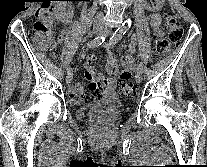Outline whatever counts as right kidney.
Instances as JSON below:
<instances>
[{
  "mask_svg": "<svg viewBox=\"0 0 207 167\" xmlns=\"http://www.w3.org/2000/svg\"><path fill=\"white\" fill-rule=\"evenodd\" d=\"M66 1H57L55 8H54V13L55 16L58 20H63L68 13L65 12L66 9Z\"/></svg>",
  "mask_w": 207,
  "mask_h": 167,
  "instance_id": "right-kidney-1",
  "label": "right kidney"
}]
</instances>
